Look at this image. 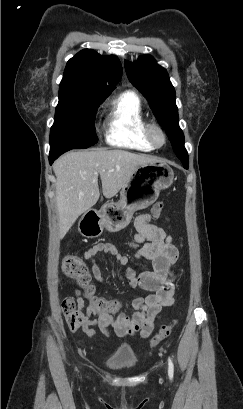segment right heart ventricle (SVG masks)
<instances>
[{
    "label": "right heart ventricle",
    "mask_w": 243,
    "mask_h": 409,
    "mask_svg": "<svg viewBox=\"0 0 243 409\" xmlns=\"http://www.w3.org/2000/svg\"><path fill=\"white\" fill-rule=\"evenodd\" d=\"M147 124L139 97L126 91L110 104L106 141L113 146L151 152L155 147L147 138Z\"/></svg>",
    "instance_id": "obj_1"
}]
</instances>
